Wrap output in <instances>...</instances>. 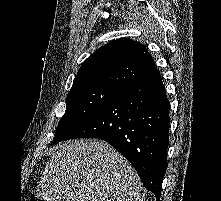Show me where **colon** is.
<instances>
[{"label": "colon", "mask_w": 221, "mask_h": 201, "mask_svg": "<svg viewBox=\"0 0 221 201\" xmlns=\"http://www.w3.org/2000/svg\"><path fill=\"white\" fill-rule=\"evenodd\" d=\"M26 201H38L35 197H30Z\"/></svg>", "instance_id": "1"}]
</instances>
